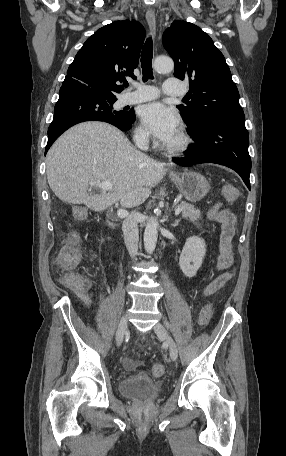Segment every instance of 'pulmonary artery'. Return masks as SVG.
Segmentation results:
<instances>
[{
  "mask_svg": "<svg viewBox=\"0 0 286 456\" xmlns=\"http://www.w3.org/2000/svg\"><path fill=\"white\" fill-rule=\"evenodd\" d=\"M136 91L128 93L124 97V104H135L153 100L159 96V91L151 85L136 84ZM163 93L170 96H182L185 94L180 80L176 77H170L165 81Z\"/></svg>",
  "mask_w": 286,
  "mask_h": 456,
  "instance_id": "1",
  "label": "pulmonary artery"
}]
</instances>
